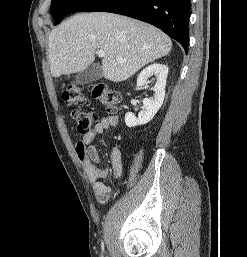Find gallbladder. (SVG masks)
I'll list each match as a JSON object with an SVG mask.
<instances>
[{
  "label": "gallbladder",
  "instance_id": "gallbladder-1",
  "mask_svg": "<svg viewBox=\"0 0 247 257\" xmlns=\"http://www.w3.org/2000/svg\"><path fill=\"white\" fill-rule=\"evenodd\" d=\"M102 77V66L99 63H92L86 69L76 75V83L84 85L93 81H97Z\"/></svg>",
  "mask_w": 247,
  "mask_h": 257
}]
</instances>
